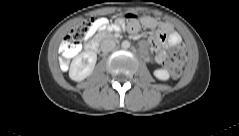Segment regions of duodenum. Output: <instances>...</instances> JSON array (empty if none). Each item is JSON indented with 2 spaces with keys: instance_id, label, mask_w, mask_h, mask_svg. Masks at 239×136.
Wrapping results in <instances>:
<instances>
[{
  "instance_id": "410a0bca",
  "label": "duodenum",
  "mask_w": 239,
  "mask_h": 136,
  "mask_svg": "<svg viewBox=\"0 0 239 136\" xmlns=\"http://www.w3.org/2000/svg\"><path fill=\"white\" fill-rule=\"evenodd\" d=\"M86 49L90 52H97L99 50V41L92 40L86 45Z\"/></svg>"
}]
</instances>
